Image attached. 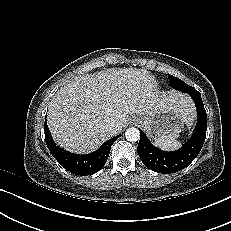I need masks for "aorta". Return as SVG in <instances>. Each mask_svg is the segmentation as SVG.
Returning a JSON list of instances; mask_svg holds the SVG:
<instances>
[{
    "label": "aorta",
    "instance_id": "obj_1",
    "mask_svg": "<svg viewBox=\"0 0 231 231\" xmlns=\"http://www.w3.org/2000/svg\"><path fill=\"white\" fill-rule=\"evenodd\" d=\"M125 137L130 142H136L140 138V132L137 128L131 127L126 130Z\"/></svg>",
    "mask_w": 231,
    "mask_h": 231
}]
</instances>
